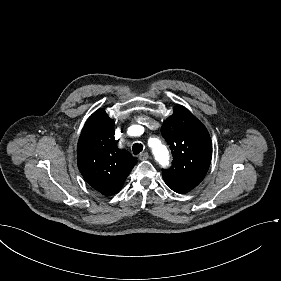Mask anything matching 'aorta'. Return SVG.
I'll return each instance as SVG.
<instances>
[{"label":"aorta","mask_w":281,"mask_h":281,"mask_svg":"<svg viewBox=\"0 0 281 281\" xmlns=\"http://www.w3.org/2000/svg\"><path fill=\"white\" fill-rule=\"evenodd\" d=\"M153 154L157 161L161 164H167L169 160V152L166 146L162 145L159 141L153 147Z\"/></svg>","instance_id":"762f6f07"}]
</instances>
